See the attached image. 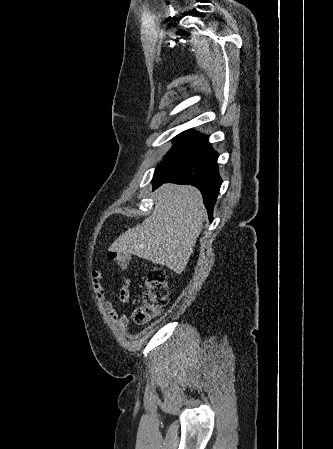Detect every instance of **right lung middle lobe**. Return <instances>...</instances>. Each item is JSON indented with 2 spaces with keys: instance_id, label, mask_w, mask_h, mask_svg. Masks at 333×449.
I'll list each match as a JSON object with an SVG mask.
<instances>
[{
  "instance_id": "right-lung-middle-lobe-1",
  "label": "right lung middle lobe",
  "mask_w": 333,
  "mask_h": 449,
  "mask_svg": "<svg viewBox=\"0 0 333 449\" xmlns=\"http://www.w3.org/2000/svg\"><path fill=\"white\" fill-rule=\"evenodd\" d=\"M196 135H198V132L194 131V130H187L184 131L182 133H180L179 135H177L176 137L173 138V143L175 144L174 147L167 153L166 157L169 156L173 151H175L176 149H178L179 147L183 146L185 143H187L188 141H190L192 138H194ZM165 157V158H166ZM164 158V159H165Z\"/></svg>"
}]
</instances>
